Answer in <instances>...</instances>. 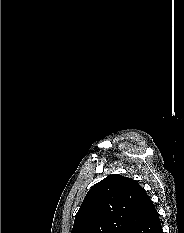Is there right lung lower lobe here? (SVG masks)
Wrapping results in <instances>:
<instances>
[{"label":"right lung lower lobe","mask_w":184,"mask_h":233,"mask_svg":"<svg viewBox=\"0 0 184 233\" xmlns=\"http://www.w3.org/2000/svg\"><path fill=\"white\" fill-rule=\"evenodd\" d=\"M130 233H163L157 210L130 231Z\"/></svg>","instance_id":"1"}]
</instances>
